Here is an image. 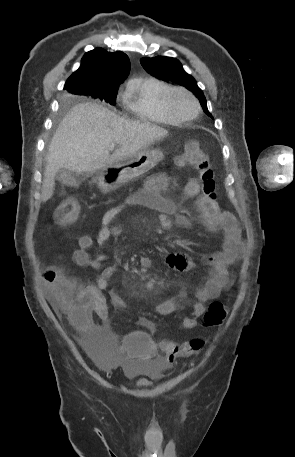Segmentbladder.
I'll return each mask as SVG.
<instances>
[{
  "label": "bladder",
  "mask_w": 295,
  "mask_h": 457,
  "mask_svg": "<svg viewBox=\"0 0 295 457\" xmlns=\"http://www.w3.org/2000/svg\"><path fill=\"white\" fill-rule=\"evenodd\" d=\"M78 347H86V356H91L101 369L109 370L116 364L112 357L117 355L115 338H78ZM123 372L129 379L145 378L157 382L168 375L169 364L160 359L147 362L126 361Z\"/></svg>",
  "instance_id": "1"
}]
</instances>
